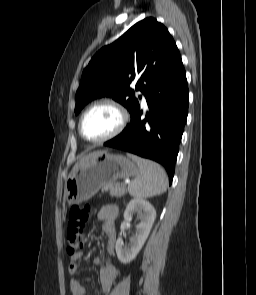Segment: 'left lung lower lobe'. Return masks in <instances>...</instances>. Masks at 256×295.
Masks as SVG:
<instances>
[{
  "mask_svg": "<svg viewBox=\"0 0 256 295\" xmlns=\"http://www.w3.org/2000/svg\"><path fill=\"white\" fill-rule=\"evenodd\" d=\"M149 107L141 120L140 105L130 124L105 146L134 153L162 164L171 184L179 143L188 115L189 91L182 60L145 94Z\"/></svg>",
  "mask_w": 256,
  "mask_h": 295,
  "instance_id": "1",
  "label": "left lung lower lobe"
}]
</instances>
